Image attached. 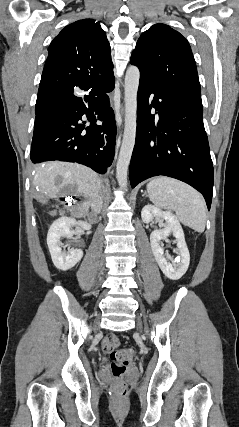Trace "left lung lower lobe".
Listing matches in <instances>:
<instances>
[{"instance_id":"0a47b994","label":"left lung lower lobe","mask_w":239,"mask_h":427,"mask_svg":"<svg viewBox=\"0 0 239 427\" xmlns=\"http://www.w3.org/2000/svg\"><path fill=\"white\" fill-rule=\"evenodd\" d=\"M137 100L136 142L129 171L132 188L153 176H169L202 193L210 209L214 170L202 102L143 78ZM152 108L158 117L150 113Z\"/></svg>"}]
</instances>
